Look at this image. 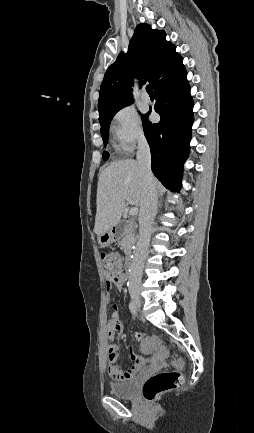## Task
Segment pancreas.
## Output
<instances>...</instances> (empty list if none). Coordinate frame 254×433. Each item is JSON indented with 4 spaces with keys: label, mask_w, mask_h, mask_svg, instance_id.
<instances>
[{
    "label": "pancreas",
    "mask_w": 254,
    "mask_h": 433,
    "mask_svg": "<svg viewBox=\"0 0 254 433\" xmlns=\"http://www.w3.org/2000/svg\"><path fill=\"white\" fill-rule=\"evenodd\" d=\"M135 241V233L133 231H129L128 234H125V236L120 241V245L122 247H126L128 244H131Z\"/></svg>",
    "instance_id": "1"
}]
</instances>
